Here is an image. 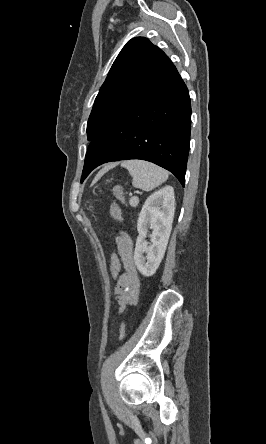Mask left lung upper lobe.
I'll list each match as a JSON object with an SVG mask.
<instances>
[{
  "mask_svg": "<svg viewBox=\"0 0 266 444\" xmlns=\"http://www.w3.org/2000/svg\"><path fill=\"white\" fill-rule=\"evenodd\" d=\"M175 66L145 37L127 42L114 61L95 99L87 123L92 141L101 128L175 70Z\"/></svg>",
  "mask_w": 266,
  "mask_h": 444,
  "instance_id": "1",
  "label": "left lung upper lobe"
}]
</instances>
